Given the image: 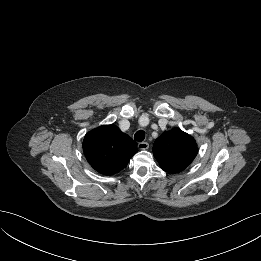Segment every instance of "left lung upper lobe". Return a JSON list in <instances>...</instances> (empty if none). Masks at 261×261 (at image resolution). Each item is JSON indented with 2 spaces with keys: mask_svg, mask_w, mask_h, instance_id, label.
<instances>
[{
  "mask_svg": "<svg viewBox=\"0 0 261 261\" xmlns=\"http://www.w3.org/2000/svg\"><path fill=\"white\" fill-rule=\"evenodd\" d=\"M198 152L194 138L174 128L165 131L153 145V155L160 167L169 173H179L187 168Z\"/></svg>",
  "mask_w": 261,
  "mask_h": 261,
  "instance_id": "5c2ea615",
  "label": "left lung upper lobe"
}]
</instances>
